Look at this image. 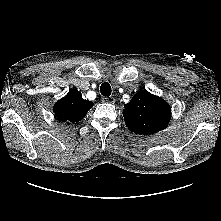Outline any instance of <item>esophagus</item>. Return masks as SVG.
I'll return each instance as SVG.
<instances>
[{"mask_svg": "<svg viewBox=\"0 0 221 221\" xmlns=\"http://www.w3.org/2000/svg\"><path fill=\"white\" fill-rule=\"evenodd\" d=\"M102 102L113 104V103H115V98L112 96H110V97L105 96V97H102Z\"/></svg>", "mask_w": 221, "mask_h": 221, "instance_id": "esophagus-1", "label": "esophagus"}]
</instances>
